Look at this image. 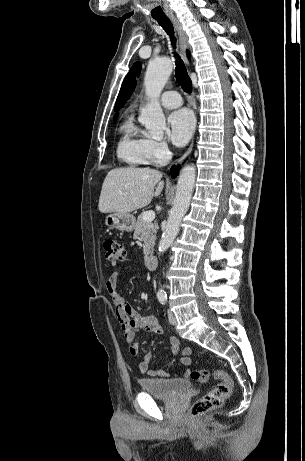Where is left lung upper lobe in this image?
<instances>
[{"instance_id": "obj_1", "label": "left lung upper lobe", "mask_w": 305, "mask_h": 461, "mask_svg": "<svg viewBox=\"0 0 305 461\" xmlns=\"http://www.w3.org/2000/svg\"><path fill=\"white\" fill-rule=\"evenodd\" d=\"M140 72H141V64L139 62L134 63L122 83L119 95L117 97L115 110L122 107L126 103L128 98L130 97V95L132 94L133 90L136 87L135 78Z\"/></svg>"}]
</instances>
